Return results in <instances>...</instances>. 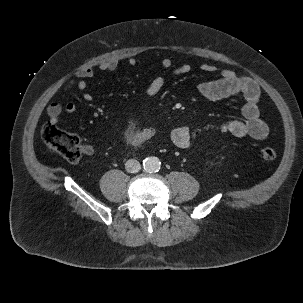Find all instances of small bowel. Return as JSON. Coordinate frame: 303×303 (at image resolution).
Here are the masks:
<instances>
[{"label":"small bowel","instance_id":"1","mask_svg":"<svg viewBox=\"0 0 303 303\" xmlns=\"http://www.w3.org/2000/svg\"><path fill=\"white\" fill-rule=\"evenodd\" d=\"M130 66L136 65L135 58H129ZM117 60H109L102 62L99 66L101 71L112 72L118 68ZM162 67L167 71L166 74L156 76L151 80L147 89L146 96L149 99L155 98L163 89L167 80L171 77L186 75L191 72V66L187 63L173 66L170 58H163L161 61ZM201 69L206 72H218V78L212 81H206L197 85L198 93L209 101H219L233 96H240L243 99L242 114L244 120H230L222 123L219 130L223 133H228L235 137L249 136L253 139L262 140L269 133L268 125L260 118L259 97L260 91L257 84L250 78L239 76L228 69H217L211 64H203ZM92 67H85L75 73L74 79L69 81L65 86V91L69 92L72 88H77L80 91L87 89V80L94 76ZM82 98L90 102L93 95L89 92H84ZM77 107L74 103L68 102L62 105L60 102H52L47 108L49 121L52 124H57L63 112L74 113ZM155 134L153 127H145L139 130L130 129L126 133V138L138 135L142 140H148ZM193 132L187 126L177 127L171 132L172 142L179 148H188L193 140ZM83 150L86 154L92 152V147L85 145Z\"/></svg>","mask_w":303,"mask_h":303}]
</instances>
